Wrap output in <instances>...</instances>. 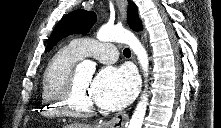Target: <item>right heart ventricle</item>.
Segmentation results:
<instances>
[{"instance_id": "right-heart-ventricle-1", "label": "right heart ventricle", "mask_w": 221, "mask_h": 128, "mask_svg": "<svg viewBox=\"0 0 221 128\" xmlns=\"http://www.w3.org/2000/svg\"><path fill=\"white\" fill-rule=\"evenodd\" d=\"M83 57L71 44L61 48L49 60L42 77L38 112L46 118L62 117L61 96L73 74L75 64Z\"/></svg>"}]
</instances>
